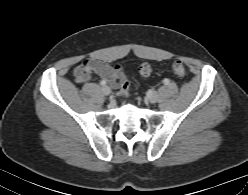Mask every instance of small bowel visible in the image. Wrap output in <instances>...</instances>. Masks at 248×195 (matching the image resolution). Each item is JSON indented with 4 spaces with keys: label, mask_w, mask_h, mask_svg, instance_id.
I'll return each instance as SVG.
<instances>
[{
    "label": "small bowel",
    "mask_w": 248,
    "mask_h": 195,
    "mask_svg": "<svg viewBox=\"0 0 248 195\" xmlns=\"http://www.w3.org/2000/svg\"><path fill=\"white\" fill-rule=\"evenodd\" d=\"M93 76H97L111 88L116 89L124 79V72L120 65L111 66L106 61L96 59L85 60L74 70V77L79 83L89 82Z\"/></svg>",
    "instance_id": "1"
}]
</instances>
